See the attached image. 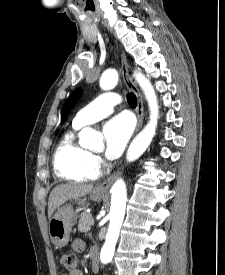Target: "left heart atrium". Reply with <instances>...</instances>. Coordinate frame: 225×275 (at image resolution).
<instances>
[{"label":"left heart atrium","instance_id":"left-heart-atrium-1","mask_svg":"<svg viewBox=\"0 0 225 275\" xmlns=\"http://www.w3.org/2000/svg\"><path fill=\"white\" fill-rule=\"evenodd\" d=\"M133 122L127 115H118L107 121L103 127L106 142L105 155L116 159L123 152L133 132Z\"/></svg>","mask_w":225,"mask_h":275}]
</instances>
